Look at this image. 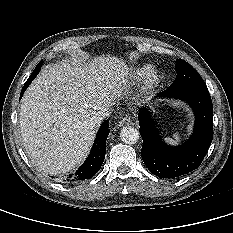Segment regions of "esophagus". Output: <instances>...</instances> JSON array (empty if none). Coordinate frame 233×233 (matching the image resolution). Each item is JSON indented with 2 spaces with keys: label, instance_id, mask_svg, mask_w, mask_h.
Wrapping results in <instances>:
<instances>
[{
  "label": "esophagus",
  "instance_id": "1",
  "mask_svg": "<svg viewBox=\"0 0 233 233\" xmlns=\"http://www.w3.org/2000/svg\"><path fill=\"white\" fill-rule=\"evenodd\" d=\"M130 124H131V117L130 116H125L119 121L117 126L121 127V126H124V125H130Z\"/></svg>",
  "mask_w": 233,
  "mask_h": 233
}]
</instances>
